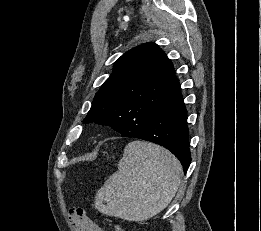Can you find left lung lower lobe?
Here are the masks:
<instances>
[{
  "label": "left lung lower lobe",
  "instance_id": "1",
  "mask_svg": "<svg viewBox=\"0 0 261 231\" xmlns=\"http://www.w3.org/2000/svg\"><path fill=\"white\" fill-rule=\"evenodd\" d=\"M187 110L180 94L157 113L141 133L121 134L159 144L171 151L181 162L186 173L191 163Z\"/></svg>",
  "mask_w": 261,
  "mask_h": 231
}]
</instances>
